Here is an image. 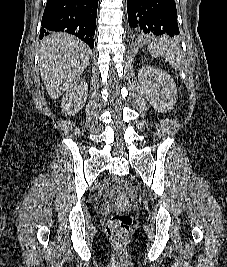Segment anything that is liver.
<instances>
[{"label":"liver","instance_id":"1","mask_svg":"<svg viewBox=\"0 0 227 267\" xmlns=\"http://www.w3.org/2000/svg\"><path fill=\"white\" fill-rule=\"evenodd\" d=\"M87 44L66 33H52L39 50V65L49 96L57 99L89 65Z\"/></svg>","mask_w":227,"mask_h":267}]
</instances>
